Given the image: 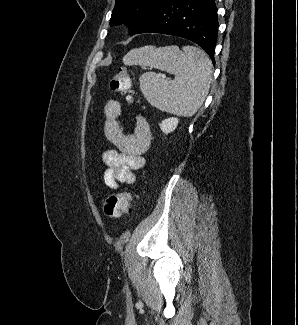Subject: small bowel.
Instances as JSON below:
<instances>
[{
  "mask_svg": "<svg viewBox=\"0 0 298 325\" xmlns=\"http://www.w3.org/2000/svg\"><path fill=\"white\" fill-rule=\"evenodd\" d=\"M121 114V104L118 100H109L104 107V133L107 140L116 149H108L102 159L107 166L104 172V183L112 189H118L120 184H134L137 181L135 171L144 166L143 154L151 144V131L146 119L138 115L134 132L124 133L118 118Z\"/></svg>",
  "mask_w": 298,
  "mask_h": 325,
  "instance_id": "small-bowel-1",
  "label": "small bowel"
}]
</instances>
